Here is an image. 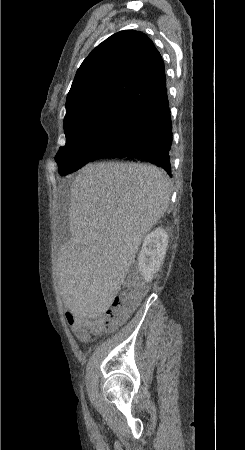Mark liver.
Instances as JSON below:
<instances>
[{"label":"liver","mask_w":245,"mask_h":450,"mask_svg":"<svg viewBox=\"0 0 245 450\" xmlns=\"http://www.w3.org/2000/svg\"><path fill=\"white\" fill-rule=\"evenodd\" d=\"M168 178L150 164H87L71 188V239L58 252L57 279L75 314L104 313L121 289L142 239L164 216Z\"/></svg>","instance_id":"liver-1"}]
</instances>
